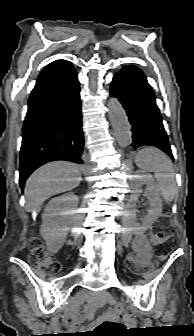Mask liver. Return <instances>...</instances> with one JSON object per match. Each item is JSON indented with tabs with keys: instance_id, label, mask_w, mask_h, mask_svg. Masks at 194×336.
Here are the masks:
<instances>
[{
	"instance_id": "1",
	"label": "liver",
	"mask_w": 194,
	"mask_h": 336,
	"mask_svg": "<svg viewBox=\"0 0 194 336\" xmlns=\"http://www.w3.org/2000/svg\"><path fill=\"white\" fill-rule=\"evenodd\" d=\"M81 180V167L77 164L55 161L43 165L26 182V210L31 212L49 197L73 190Z\"/></svg>"
}]
</instances>
